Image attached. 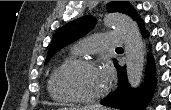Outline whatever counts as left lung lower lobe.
I'll return each instance as SVG.
<instances>
[{
	"instance_id": "left-lung-lower-lobe-1",
	"label": "left lung lower lobe",
	"mask_w": 171,
	"mask_h": 110,
	"mask_svg": "<svg viewBox=\"0 0 171 110\" xmlns=\"http://www.w3.org/2000/svg\"><path fill=\"white\" fill-rule=\"evenodd\" d=\"M137 23L142 35L147 37L148 33L143 29V21L140 19ZM116 67L119 77L118 87L108 98L102 100L101 104L122 110H145L146 102L152 96L155 87L152 59L150 57L148 59L147 75L141 89L129 87L126 79V68L118 65Z\"/></svg>"
}]
</instances>
